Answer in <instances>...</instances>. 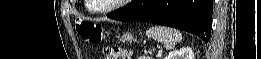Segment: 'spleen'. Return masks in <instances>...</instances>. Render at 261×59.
Masks as SVG:
<instances>
[{
  "mask_svg": "<svg viewBox=\"0 0 261 59\" xmlns=\"http://www.w3.org/2000/svg\"><path fill=\"white\" fill-rule=\"evenodd\" d=\"M146 35L153 40L161 42L166 49L174 48L182 40V35L178 30L165 26L151 27L146 31Z\"/></svg>",
  "mask_w": 261,
  "mask_h": 59,
  "instance_id": "1",
  "label": "spleen"
}]
</instances>
